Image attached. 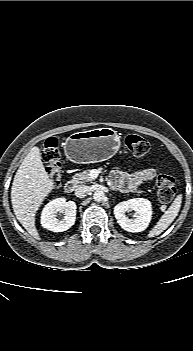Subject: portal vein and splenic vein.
<instances>
[{"label":"portal vein and splenic vein","instance_id":"obj_1","mask_svg":"<svg viewBox=\"0 0 193 351\" xmlns=\"http://www.w3.org/2000/svg\"><path fill=\"white\" fill-rule=\"evenodd\" d=\"M98 176V172L96 170H91V177L95 178Z\"/></svg>","mask_w":193,"mask_h":351}]
</instances>
